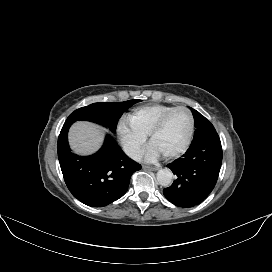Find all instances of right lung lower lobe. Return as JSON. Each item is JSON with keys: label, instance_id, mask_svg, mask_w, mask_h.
I'll list each match as a JSON object with an SVG mask.
<instances>
[{"label": "right lung lower lobe", "instance_id": "right-lung-lower-lobe-1", "mask_svg": "<svg viewBox=\"0 0 272 272\" xmlns=\"http://www.w3.org/2000/svg\"><path fill=\"white\" fill-rule=\"evenodd\" d=\"M72 123H64L57 142L65 183L82 203L93 207L106 206L126 193L132 174L140 170L141 165L128 158L110 135L106 136L104 145L94 155H75L67 140Z\"/></svg>", "mask_w": 272, "mask_h": 272}]
</instances>
